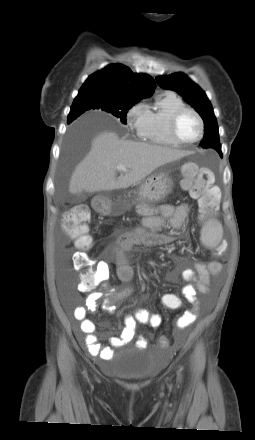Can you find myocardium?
<instances>
[{"mask_svg": "<svg viewBox=\"0 0 255 440\" xmlns=\"http://www.w3.org/2000/svg\"><path fill=\"white\" fill-rule=\"evenodd\" d=\"M187 112L192 113L197 118L198 123H199V134L192 141L183 140L179 136L178 131H177L178 123H179L181 116ZM169 130H170V134H171L173 140L177 144L185 145V146L193 145V144L199 142L204 136V120H203L202 116L195 109L185 106V107L178 109L177 111H175L173 113V115L171 116L170 122H169Z\"/></svg>", "mask_w": 255, "mask_h": 440, "instance_id": "1", "label": "myocardium"}]
</instances>
